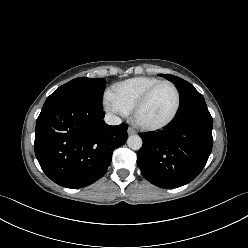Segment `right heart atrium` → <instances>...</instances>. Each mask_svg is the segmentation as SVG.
<instances>
[{
    "label": "right heart atrium",
    "instance_id": "right-heart-atrium-1",
    "mask_svg": "<svg viewBox=\"0 0 248 248\" xmlns=\"http://www.w3.org/2000/svg\"><path fill=\"white\" fill-rule=\"evenodd\" d=\"M104 106L105 109L111 113L125 115L127 110L122 107L112 96L111 94H106L104 97Z\"/></svg>",
    "mask_w": 248,
    "mask_h": 248
}]
</instances>
